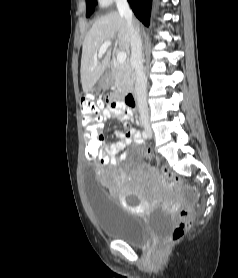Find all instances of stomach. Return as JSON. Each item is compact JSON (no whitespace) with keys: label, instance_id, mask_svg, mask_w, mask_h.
Here are the masks:
<instances>
[{"label":"stomach","instance_id":"stomach-1","mask_svg":"<svg viewBox=\"0 0 238 278\" xmlns=\"http://www.w3.org/2000/svg\"><path fill=\"white\" fill-rule=\"evenodd\" d=\"M114 83V75L111 72H105L99 81L100 89H108Z\"/></svg>","mask_w":238,"mask_h":278}]
</instances>
